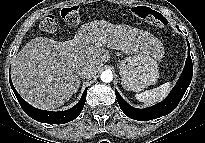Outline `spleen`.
<instances>
[{
	"label": "spleen",
	"mask_w": 205,
	"mask_h": 143,
	"mask_svg": "<svg viewBox=\"0 0 205 143\" xmlns=\"http://www.w3.org/2000/svg\"><path fill=\"white\" fill-rule=\"evenodd\" d=\"M170 88H171V83L166 82L154 89L136 94L135 97L138 101L146 105H152L162 101L168 95Z\"/></svg>",
	"instance_id": "3e777b00"
}]
</instances>
